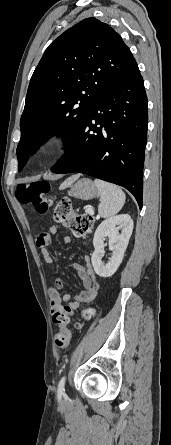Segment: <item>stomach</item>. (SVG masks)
<instances>
[{"instance_id":"0dacf381","label":"stomach","mask_w":171,"mask_h":445,"mask_svg":"<svg viewBox=\"0 0 171 445\" xmlns=\"http://www.w3.org/2000/svg\"><path fill=\"white\" fill-rule=\"evenodd\" d=\"M70 195L81 200H91L99 195V190L90 179L83 178L71 187Z\"/></svg>"}]
</instances>
